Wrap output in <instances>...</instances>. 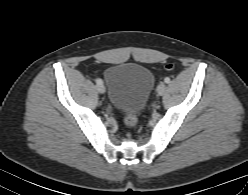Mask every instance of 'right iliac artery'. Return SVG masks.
<instances>
[{
  "instance_id": "obj_1",
  "label": "right iliac artery",
  "mask_w": 248,
  "mask_h": 195,
  "mask_svg": "<svg viewBox=\"0 0 248 195\" xmlns=\"http://www.w3.org/2000/svg\"><path fill=\"white\" fill-rule=\"evenodd\" d=\"M95 81H96L97 84H102L103 83V81L101 79H96Z\"/></svg>"
}]
</instances>
